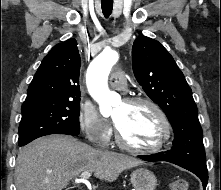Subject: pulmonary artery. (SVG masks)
Masks as SVG:
<instances>
[{
    "instance_id": "obj_1",
    "label": "pulmonary artery",
    "mask_w": 221,
    "mask_h": 190,
    "mask_svg": "<svg viewBox=\"0 0 221 190\" xmlns=\"http://www.w3.org/2000/svg\"><path fill=\"white\" fill-rule=\"evenodd\" d=\"M126 82V75L123 71H115L110 77V84L116 89H125Z\"/></svg>"
}]
</instances>
